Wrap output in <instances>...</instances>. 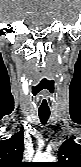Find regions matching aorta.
<instances>
[{
  "mask_svg": "<svg viewBox=\"0 0 81 167\" xmlns=\"http://www.w3.org/2000/svg\"><path fill=\"white\" fill-rule=\"evenodd\" d=\"M34 160L36 162H54L55 157L50 154H40V155H36Z\"/></svg>",
  "mask_w": 81,
  "mask_h": 167,
  "instance_id": "762f6f07",
  "label": "aorta"
}]
</instances>
